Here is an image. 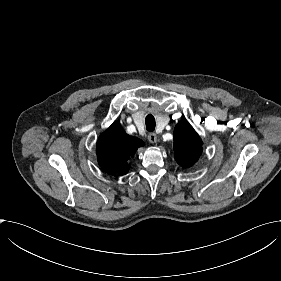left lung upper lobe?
<instances>
[{
  "label": "left lung upper lobe",
  "instance_id": "1",
  "mask_svg": "<svg viewBox=\"0 0 281 281\" xmlns=\"http://www.w3.org/2000/svg\"><path fill=\"white\" fill-rule=\"evenodd\" d=\"M174 158L182 167H190L202 153V141L193 127L180 121L174 130Z\"/></svg>",
  "mask_w": 281,
  "mask_h": 281
}]
</instances>
